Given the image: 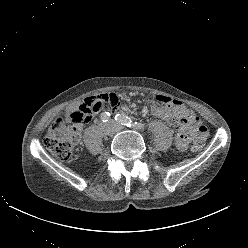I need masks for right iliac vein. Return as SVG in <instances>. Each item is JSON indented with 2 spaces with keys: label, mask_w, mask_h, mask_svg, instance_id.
Wrapping results in <instances>:
<instances>
[{
  "label": "right iliac vein",
  "mask_w": 248,
  "mask_h": 248,
  "mask_svg": "<svg viewBox=\"0 0 248 248\" xmlns=\"http://www.w3.org/2000/svg\"><path fill=\"white\" fill-rule=\"evenodd\" d=\"M103 132L107 136H112L115 133V127L112 124H105L103 126Z\"/></svg>",
  "instance_id": "1"
}]
</instances>
